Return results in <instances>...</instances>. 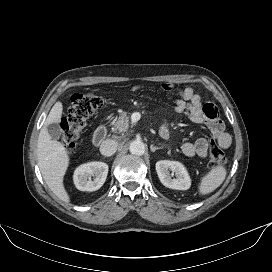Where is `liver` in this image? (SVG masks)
<instances>
[{
  "instance_id": "obj_1",
  "label": "liver",
  "mask_w": 272,
  "mask_h": 272,
  "mask_svg": "<svg viewBox=\"0 0 272 272\" xmlns=\"http://www.w3.org/2000/svg\"><path fill=\"white\" fill-rule=\"evenodd\" d=\"M63 105L60 101L52 107L37 142V160L43 179L51 191L62 201L70 202V197L64 187L63 179L69 166L70 157L64 145L52 140L47 126L61 121Z\"/></svg>"
}]
</instances>
